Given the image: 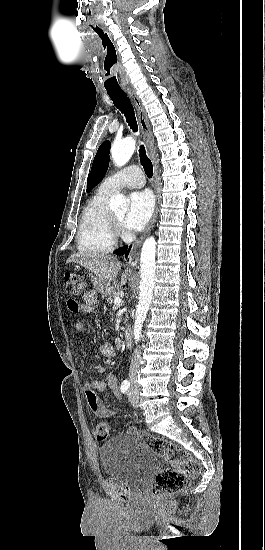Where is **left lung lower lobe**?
Returning a JSON list of instances; mask_svg holds the SVG:
<instances>
[{
    "label": "left lung lower lobe",
    "mask_w": 265,
    "mask_h": 550,
    "mask_svg": "<svg viewBox=\"0 0 265 550\" xmlns=\"http://www.w3.org/2000/svg\"><path fill=\"white\" fill-rule=\"evenodd\" d=\"M127 251V246L123 247V248H120L119 250L116 251V254L117 255H123L125 254Z\"/></svg>",
    "instance_id": "obj_1"
}]
</instances>
